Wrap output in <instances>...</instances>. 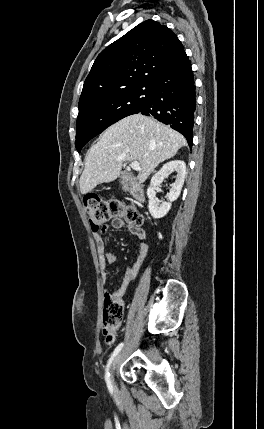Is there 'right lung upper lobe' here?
Returning <instances> with one entry per match:
<instances>
[{
	"mask_svg": "<svg viewBox=\"0 0 264 429\" xmlns=\"http://www.w3.org/2000/svg\"><path fill=\"white\" fill-rule=\"evenodd\" d=\"M177 36L146 20L104 49L87 76L79 106L137 84H154L183 54Z\"/></svg>",
	"mask_w": 264,
	"mask_h": 429,
	"instance_id": "right-lung-upper-lobe-1",
	"label": "right lung upper lobe"
}]
</instances>
